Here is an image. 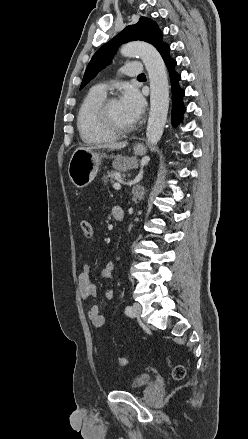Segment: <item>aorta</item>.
I'll return each instance as SVG.
<instances>
[{
  "mask_svg": "<svg viewBox=\"0 0 248 439\" xmlns=\"http://www.w3.org/2000/svg\"><path fill=\"white\" fill-rule=\"evenodd\" d=\"M120 53L124 57L139 56L148 72L151 94L146 137L150 145H155L162 137L169 108V84L165 63L159 52L145 42L127 43L121 47Z\"/></svg>",
  "mask_w": 248,
  "mask_h": 439,
  "instance_id": "762f6f07",
  "label": "aorta"
}]
</instances>
